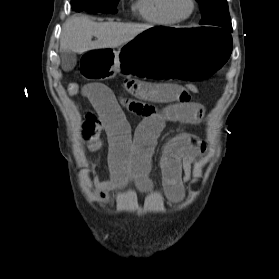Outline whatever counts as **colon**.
Instances as JSON below:
<instances>
[{
  "label": "colon",
  "instance_id": "obj_1",
  "mask_svg": "<svg viewBox=\"0 0 279 279\" xmlns=\"http://www.w3.org/2000/svg\"><path fill=\"white\" fill-rule=\"evenodd\" d=\"M82 87L78 83H69L67 86V91L69 95L71 96H76V95H81L82 92ZM198 92V87L194 84H187L183 87L181 95L185 97H190L192 94H195ZM118 100L125 105H138V102H135L132 100L130 97L126 96H120L118 97Z\"/></svg>",
  "mask_w": 279,
  "mask_h": 279
}]
</instances>
